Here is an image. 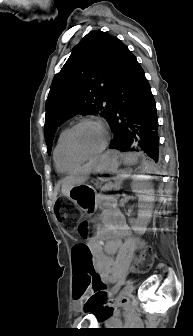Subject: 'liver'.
Returning a JSON list of instances; mask_svg holds the SVG:
<instances>
[{
    "instance_id": "1",
    "label": "liver",
    "mask_w": 193,
    "mask_h": 336,
    "mask_svg": "<svg viewBox=\"0 0 193 336\" xmlns=\"http://www.w3.org/2000/svg\"><path fill=\"white\" fill-rule=\"evenodd\" d=\"M99 159L100 157L90 160L88 163L76 168L73 172L66 176L62 181V194L68 196L70 190L74 186L83 184L89 178V174L92 172L93 166L99 161Z\"/></svg>"
}]
</instances>
